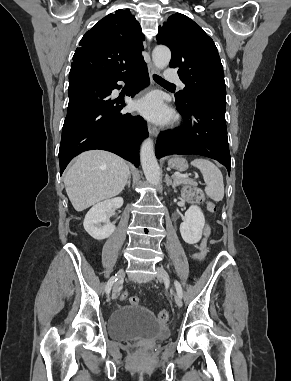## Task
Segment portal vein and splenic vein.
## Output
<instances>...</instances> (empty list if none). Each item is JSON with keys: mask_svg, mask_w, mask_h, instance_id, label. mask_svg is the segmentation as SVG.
Returning a JSON list of instances; mask_svg holds the SVG:
<instances>
[{"mask_svg": "<svg viewBox=\"0 0 291 381\" xmlns=\"http://www.w3.org/2000/svg\"><path fill=\"white\" fill-rule=\"evenodd\" d=\"M173 177H183V178H188V175H186V174H180V173H174V174H173ZM196 178H197V176H196Z\"/></svg>", "mask_w": 291, "mask_h": 381, "instance_id": "obj_1", "label": "portal vein and splenic vein"}]
</instances>
